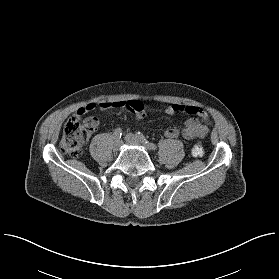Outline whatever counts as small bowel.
<instances>
[{"instance_id": "obj_1", "label": "small bowel", "mask_w": 279, "mask_h": 279, "mask_svg": "<svg viewBox=\"0 0 279 279\" xmlns=\"http://www.w3.org/2000/svg\"><path fill=\"white\" fill-rule=\"evenodd\" d=\"M125 103L120 101H115L112 103H102L99 105L101 109L107 108H122L124 107ZM95 108V104L88 103L84 106L78 108V110L74 113V116L80 118L81 116L85 115L87 112L93 110ZM179 111H183L187 114L193 115L194 117L189 118L184 125V128L181 132V135L186 140H191L196 137L204 138L208 132V126L210 124L209 115L203 109L196 106H187V105H170L167 106L165 112L168 115H176ZM139 117H144L143 113L139 114ZM180 135L178 129L174 127H170L166 129L165 136L168 138H177Z\"/></svg>"}]
</instances>
